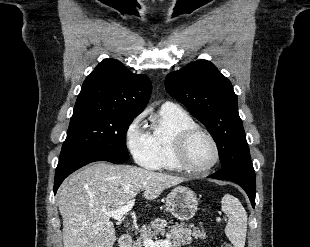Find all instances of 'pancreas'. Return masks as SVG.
Here are the masks:
<instances>
[{
    "mask_svg": "<svg viewBox=\"0 0 310 247\" xmlns=\"http://www.w3.org/2000/svg\"><path fill=\"white\" fill-rule=\"evenodd\" d=\"M166 223L157 219L150 223V225L141 231L140 237L133 243V247H143L144 240L146 238H152L160 234L166 236L167 240L172 241V247H181L182 245L190 244L193 241V237L206 238L204 230H200L193 225L187 226L185 223L178 224L168 227L170 230L166 232Z\"/></svg>",
    "mask_w": 310,
    "mask_h": 247,
    "instance_id": "pancreas-1",
    "label": "pancreas"
}]
</instances>
